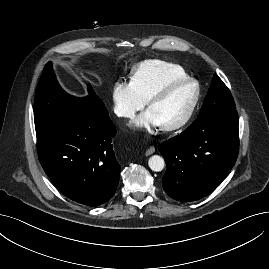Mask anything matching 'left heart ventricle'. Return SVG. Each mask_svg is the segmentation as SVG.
Wrapping results in <instances>:
<instances>
[{
  "instance_id": "obj_1",
  "label": "left heart ventricle",
  "mask_w": 269,
  "mask_h": 269,
  "mask_svg": "<svg viewBox=\"0 0 269 269\" xmlns=\"http://www.w3.org/2000/svg\"><path fill=\"white\" fill-rule=\"evenodd\" d=\"M194 91L193 85L178 87L165 98L151 105L149 111L156 116L161 126L173 124L187 111Z\"/></svg>"
}]
</instances>
